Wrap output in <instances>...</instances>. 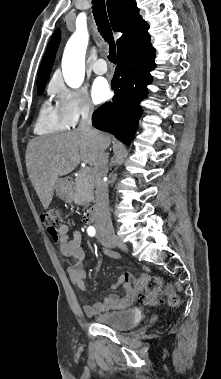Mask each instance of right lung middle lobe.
<instances>
[{"label": "right lung middle lobe", "instance_id": "dd1d6c3e", "mask_svg": "<svg viewBox=\"0 0 221 379\" xmlns=\"http://www.w3.org/2000/svg\"><path fill=\"white\" fill-rule=\"evenodd\" d=\"M37 88H38V94H42L45 86H41V87H37Z\"/></svg>", "mask_w": 221, "mask_h": 379}]
</instances>
